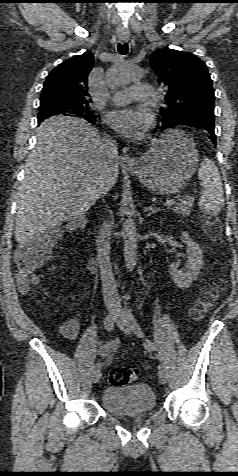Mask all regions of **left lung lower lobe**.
Listing matches in <instances>:
<instances>
[{
  "mask_svg": "<svg viewBox=\"0 0 238 476\" xmlns=\"http://www.w3.org/2000/svg\"><path fill=\"white\" fill-rule=\"evenodd\" d=\"M176 125H188V126H193V127H202L206 129L211 136L209 137L211 141L213 142L214 145H216V136L214 134V121L208 120V119H197V120H190V121H185V122H179V123H171L168 125H162L160 130L163 131L165 129H168L170 127L176 126Z\"/></svg>",
  "mask_w": 238,
  "mask_h": 476,
  "instance_id": "obj_1",
  "label": "left lung lower lobe"
}]
</instances>
